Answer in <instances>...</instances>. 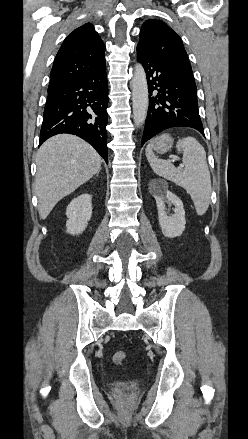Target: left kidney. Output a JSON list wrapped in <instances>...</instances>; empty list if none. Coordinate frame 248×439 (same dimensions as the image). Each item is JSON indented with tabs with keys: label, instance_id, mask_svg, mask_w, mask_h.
I'll use <instances>...</instances> for the list:
<instances>
[{
	"label": "left kidney",
	"instance_id": "obj_1",
	"mask_svg": "<svg viewBox=\"0 0 248 439\" xmlns=\"http://www.w3.org/2000/svg\"><path fill=\"white\" fill-rule=\"evenodd\" d=\"M149 192L156 200L159 226L163 235L168 238L181 236L185 230L186 220L184 206L180 198L170 192L166 185L159 187L157 180H153L149 184ZM165 203H171L175 206L174 214L166 212Z\"/></svg>",
	"mask_w": 248,
	"mask_h": 439
}]
</instances>
